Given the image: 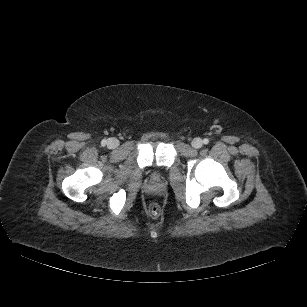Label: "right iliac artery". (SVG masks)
I'll use <instances>...</instances> for the list:
<instances>
[{
  "mask_svg": "<svg viewBox=\"0 0 307 307\" xmlns=\"http://www.w3.org/2000/svg\"><path fill=\"white\" fill-rule=\"evenodd\" d=\"M106 144H107V140L103 139V140L101 141V145H102V146H105Z\"/></svg>",
  "mask_w": 307,
  "mask_h": 307,
  "instance_id": "82829eb1",
  "label": "right iliac artery"
}]
</instances>
